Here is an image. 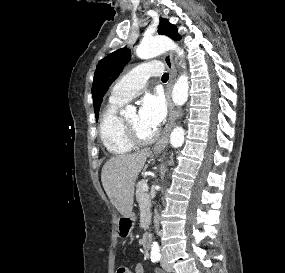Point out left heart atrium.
<instances>
[{"instance_id": "left-heart-atrium-1", "label": "left heart atrium", "mask_w": 285, "mask_h": 273, "mask_svg": "<svg viewBox=\"0 0 285 273\" xmlns=\"http://www.w3.org/2000/svg\"><path fill=\"white\" fill-rule=\"evenodd\" d=\"M165 116L166 104L161 94H147L141 99L138 117L143 125L156 130Z\"/></svg>"}]
</instances>
